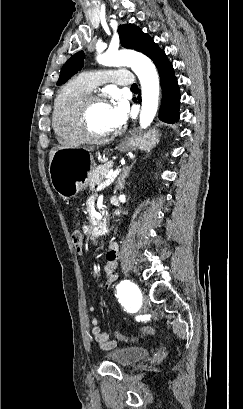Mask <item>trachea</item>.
Instances as JSON below:
<instances>
[{"label": "trachea", "instance_id": "3493384b", "mask_svg": "<svg viewBox=\"0 0 243 409\" xmlns=\"http://www.w3.org/2000/svg\"><path fill=\"white\" fill-rule=\"evenodd\" d=\"M137 88H138L137 84H133V85L131 86V89H137Z\"/></svg>", "mask_w": 243, "mask_h": 409}]
</instances>
